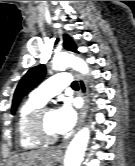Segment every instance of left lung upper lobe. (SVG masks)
I'll list each match as a JSON object with an SVG mask.
<instances>
[{"label":"left lung upper lobe","mask_w":135,"mask_h":166,"mask_svg":"<svg viewBox=\"0 0 135 166\" xmlns=\"http://www.w3.org/2000/svg\"><path fill=\"white\" fill-rule=\"evenodd\" d=\"M63 38H64L63 45L65 49L73 52H78L77 47L75 46L72 38H70L68 35H64ZM56 42H58V40ZM45 74H46L45 66L38 65L31 68L22 77L14 92L13 101H12V110H11L12 114L15 113L19 102L25 96V94L28 93L30 90H32L34 87H36L43 80Z\"/></svg>","instance_id":"5c2ea615"}]
</instances>
